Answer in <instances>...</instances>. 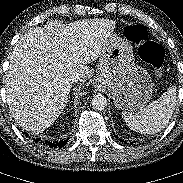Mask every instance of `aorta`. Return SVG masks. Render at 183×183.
I'll return each mask as SVG.
<instances>
[{
    "label": "aorta",
    "instance_id": "obj_1",
    "mask_svg": "<svg viewBox=\"0 0 183 183\" xmlns=\"http://www.w3.org/2000/svg\"><path fill=\"white\" fill-rule=\"evenodd\" d=\"M91 104L94 109L103 110L107 106V99L102 94L93 96Z\"/></svg>",
    "mask_w": 183,
    "mask_h": 183
}]
</instances>
